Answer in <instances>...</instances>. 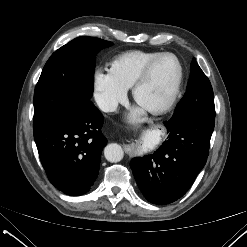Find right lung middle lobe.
Instances as JSON below:
<instances>
[{"label":"right lung middle lobe","mask_w":247,"mask_h":247,"mask_svg":"<svg viewBox=\"0 0 247 247\" xmlns=\"http://www.w3.org/2000/svg\"><path fill=\"white\" fill-rule=\"evenodd\" d=\"M111 45L113 43L106 40L83 36L52 54L34 92V131L47 125L75 103L91 98L96 55Z\"/></svg>","instance_id":"dd1d6c3e"}]
</instances>
